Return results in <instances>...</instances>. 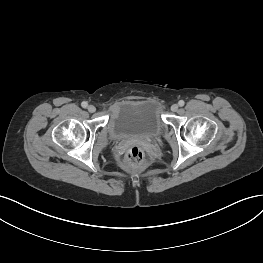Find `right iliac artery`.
I'll list each match as a JSON object with an SVG mask.
<instances>
[{
	"label": "right iliac artery",
	"instance_id": "obj_1",
	"mask_svg": "<svg viewBox=\"0 0 263 263\" xmlns=\"http://www.w3.org/2000/svg\"><path fill=\"white\" fill-rule=\"evenodd\" d=\"M81 106H82L83 108H86V107L88 106V103H87L86 101H84V102L81 103Z\"/></svg>",
	"mask_w": 263,
	"mask_h": 263
}]
</instances>
